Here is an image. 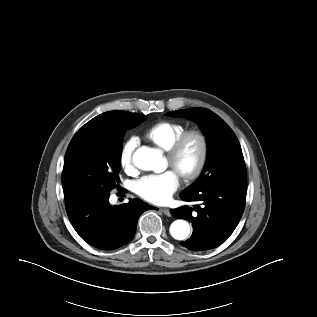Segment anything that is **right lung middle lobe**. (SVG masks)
<instances>
[{
	"mask_svg": "<svg viewBox=\"0 0 317 317\" xmlns=\"http://www.w3.org/2000/svg\"><path fill=\"white\" fill-rule=\"evenodd\" d=\"M144 120L141 114L108 111L78 130L67 148L64 160L62 186L66 204L89 205L108 197L112 189L120 188L124 135L126 130Z\"/></svg>",
	"mask_w": 317,
	"mask_h": 317,
	"instance_id": "dd1d6c3e",
	"label": "right lung middle lobe"
}]
</instances>
